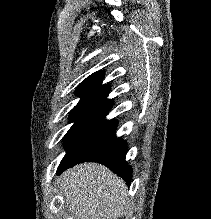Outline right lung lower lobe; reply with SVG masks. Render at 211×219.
<instances>
[{
    "label": "right lung lower lobe",
    "mask_w": 211,
    "mask_h": 219,
    "mask_svg": "<svg viewBox=\"0 0 211 219\" xmlns=\"http://www.w3.org/2000/svg\"><path fill=\"white\" fill-rule=\"evenodd\" d=\"M117 123L118 121L113 119L99 125L64 157L57 174L78 163L98 162L106 165L130 184L132 169L125 161L127 143L116 137Z\"/></svg>",
    "instance_id": "98d812e1"
}]
</instances>
